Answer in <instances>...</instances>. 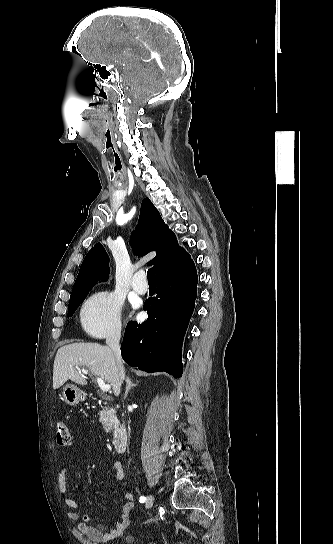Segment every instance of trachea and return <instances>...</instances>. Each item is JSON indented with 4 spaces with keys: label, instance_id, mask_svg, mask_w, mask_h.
I'll return each mask as SVG.
<instances>
[{
    "label": "trachea",
    "instance_id": "3493384b",
    "mask_svg": "<svg viewBox=\"0 0 333 544\" xmlns=\"http://www.w3.org/2000/svg\"><path fill=\"white\" fill-rule=\"evenodd\" d=\"M147 278H148V281H149V282H152V283H155V282H156L154 267H151V268L147 271Z\"/></svg>",
    "mask_w": 333,
    "mask_h": 544
}]
</instances>
